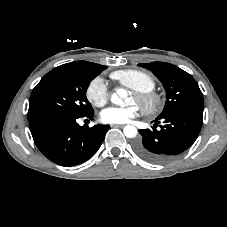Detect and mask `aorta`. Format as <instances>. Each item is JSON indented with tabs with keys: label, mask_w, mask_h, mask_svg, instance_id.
Masks as SVG:
<instances>
[{
	"label": "aorta",
	"mask_w": 227,
	"mask_h": 227,
	"mask_svg": "<svg viewBox=\"0 0 227 227\" xmlns=\"http://www.w3.org/2000/svg\"><path fill=\"white\" fill-rule=\"evenodd\" d=\"M123 99H127V91L123 88H118L110 98L111 102L116 105H122ZM123 132L127 138H134L137 135V128L133 125H127L124 127Z\"/></svg>",
	"instance_id": "obj_1"
}]
</instances>
